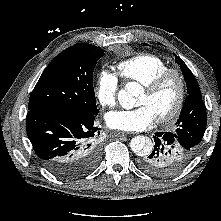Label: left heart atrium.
Masks as SVG:
<instances>
[{
	"label": "left heart atrium",
	"mask_w": 221,
	"mask_h": 221,
	"mask_svg": "<svg viewBox=\"0 0 221 221\" xmlns=\"http://www.w3.org/2000/svg\"><path fill=\"white\" fill-rule=\"evenodd\" d=\"M155 118L152 110L146 105L129 110H115L105 115L110 128L122 131L144 130L154 122Z\"/></svg>",
	"instance_id": "left-heart-atrium-1"
}]
</instances>
